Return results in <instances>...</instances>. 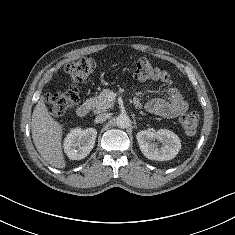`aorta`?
<instances>
[{
    "instance_id": "obj_1",
    "label": "aorta",
    "mask_w": 235,
    "mask_h": 235,
    "mask_svg": "<svg viewBox=\"0 0 235 235\" xmlns=\"http://www.w3.org/2000/svg\"><path fill=\"white\" fill-rule=\"evenodd\" d=\"M116 124L119 128H127L130 125V118L126 114H120L116 118Z\"/></svg>"
}]
</instances>
